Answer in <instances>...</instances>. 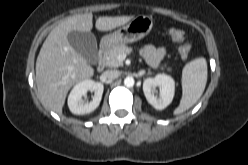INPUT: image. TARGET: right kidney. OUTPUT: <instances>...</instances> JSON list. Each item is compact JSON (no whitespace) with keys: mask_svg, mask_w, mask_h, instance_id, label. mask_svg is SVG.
Here are the masks:
<instances>
[{"mask_svg":"<svg viewBox=\"0 0 248 165\" xmlns=\"http://www.w3.org/2000/svg\"><path fill=\"white\" fill-rule=\"evenodd\" d=\"M104 86L102 83L90 79L77 83L68 96V107L75 115H84L93 112L100 104ZM88 91L94 92L93 100L84 102L82 96Z\"/></svg>","mask_w":248,"mask_h":165,"instance_id":"obj_1","label":"right kidney"}]
</instances>
